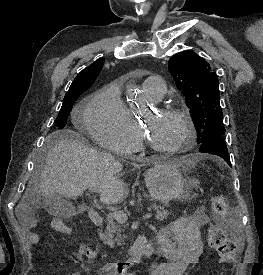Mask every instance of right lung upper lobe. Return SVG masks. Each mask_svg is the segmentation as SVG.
I'll return each instance as SVG.
<instances>
[{
    "instance_id": "cb5924a9",
    "label": "right lung upper lobe",
    "mask_w": 263,
    "mask_h": 275,
    "mask_svg": "<svg viewBox=\"0 0 263 275\" xmlns=\"http://www.w3.org/2000/svg\"><path fill=\"white\" fill-rule=\"evenodd\" d=\"M104 61V58H100L82 70L75 77L67 93H72L83 89L87 90L95 82L103 67Z\"/></svg>"
}]
</instances>
